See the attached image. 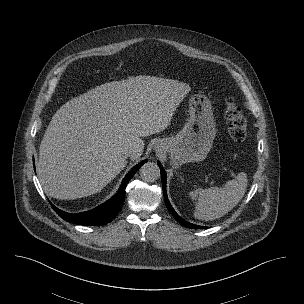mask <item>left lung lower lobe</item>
Instances as JSON below:
<instances>
[{
	"label": "left lung lower lobe",
	"mask_w": 304,
	"mask_h": 304,
	"mask_svg": "<svg viewBox=\"0 0 304 304\" xmlns=\"http://www.w3.org/2000/svg\"><path fill=\"white\" fill-rule=\"evenodd\" d=\"M158 166L160 167V172H161V179H162V188H163V194H164V200H165V204L167 209L169 210V212L173 215V217L182 225L185 226L187 228H192V229H203L204 226H198L192 223L187 222L186 220H184L183 218H181L176 212L175 210L172 208L168 197H167V193H166V172L164 170V168L162 167L161 163L158 162Z\"/></svg>",
	"instance_id": "0a47b994"
}]
</instances>
